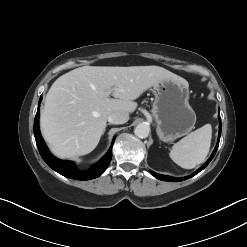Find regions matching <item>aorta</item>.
I'll return each instance as SVG.
<instances>
[{"label":"aorta","instance_id":"obj_1","mask_svg":"<svg viewBox=\"0 0 247 247\" xmlns=\"http://www.w3.org/2000/svg\"><path fill=\"white\" fill-rule=\"evenodd\" d=\"M134 133L139 138H146L150 133V126L146 123H140L135 127Z\"/></svg>","mask_w":247,"mask_h":247}]
</instances>
